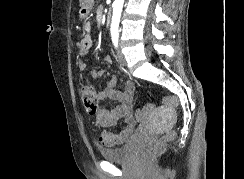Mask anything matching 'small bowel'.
Listing matches in <instances>:
<instances>
[{"label": "small bowel", "instance_id": "1", "mask_svg": "<svg viewBox=\"0 0 244 179\" xmlns=\"http://www.w3.org/2000/svg\"><path fill=\"white\" fill-rule=\"evenodd\" d=\"M83 33L79 36L76 42V57L77 67L79 70L84 71L86 65L82 62V58L85 57L93 44L91 31V22L84 24ZM106 63H111V58L106 57ZM104 73L99 70H92L89 76L85 79L88 81H96L102 78ZM135 91V85L133 82H127L124 89H116V79L114 76L106 83L105 87L98 91L97 99L102 101L104 99H111L117 102L116 107L113 109L100 108L96 115V122L99 127H113L117 128L121 121L125 122V127L122 129L103 131L100 135V142L105 146H116L122 144L126 138L133 132L136 125L135 116L132 113L133 110V94ZM136 116H143L137 115Z\"/></svg>", "mask_w": 244, "mask_h": 179}]
</instances>
